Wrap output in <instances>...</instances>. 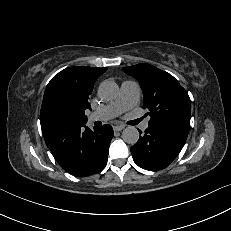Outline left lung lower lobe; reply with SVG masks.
Masks as SVG:
<instances>
[{
	"mask_svg": "<svg viewBox=\"0 0 231 231\" xmlns=\"http://www.w3.org/2000/svg\"><path fill=\"white\" fill-rule=\"evenodd\" d=\"M188 132L171 124L150 122L144 135L130 148L134 162L150 171L167 167L181 151Z\"/></svg>",
	"mask_w": 231,
	"mask_h": 231,
	"instance_id": "left-lung-lower-lobe-1",
	"label": "left lung lower lobe"
}]
</instances>
